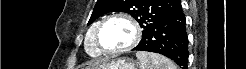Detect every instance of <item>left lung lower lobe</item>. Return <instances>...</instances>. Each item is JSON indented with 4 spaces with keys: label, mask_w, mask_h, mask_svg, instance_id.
<instances>
[{
    "label": "left lung lower lobe",
    "mask_w": 246,
    "mask_h": 69,
    "mask_svg": "<svg viewBox=\"0 0 246 69\" xmlns=\"http://www.w3.org/2000/svg\"><path fill=\"white\" fill-rule=\"evenodd\" d=\"M188 38L181 3L161 21L142 33L140 43L133 50L150 51L174 60L182 69L187 68Z\"/></svg>",
    "instance_id": "obj_1"
}]
</instances>
